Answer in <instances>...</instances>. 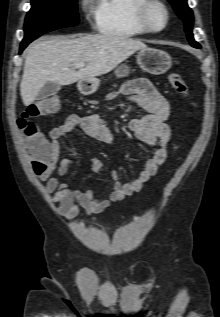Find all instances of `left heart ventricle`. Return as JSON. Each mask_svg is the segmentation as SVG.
Returning <instances> with one entry per match:
<instances>
[{
  "instance_id": "1",
  "label": "left heart ventricle",
  "mask_w": 220,
  "mask_h": 317,
  "mask_svg": "<svg viewBox=\"0 0 220 317\" xmlns=\"http://www.w3.org/2000/svg\"><path fill=\"white\" fill-rule=\"evenodd\" d=\"M150 19L152 24L160 28L164 25L165 17L163 11L158 7H153L150 11Z\"/></svg>"
}]
</instances>
